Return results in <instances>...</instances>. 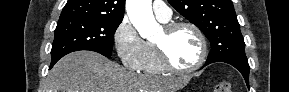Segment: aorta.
<instances>
[{"label": "aorta", "mask_w": 289, "mask_h": 92, "mask_svg": "<svg viewBox=\"0 0 289 92\" xmlns=\"http://www.w3.org/2000/svg\"><path fill=\"white\" fill-rule=\"evenodd\" d=\"M126 10L134 27L143 38H148L158 29L152 12L151 0H127Z\"/></svg>", "instance_id": "1"}]
</instances>
